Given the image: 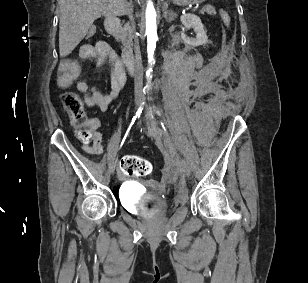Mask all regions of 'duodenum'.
Returning <instances> with one entry per match:
<instances>
[{
    "label": "duodenum",
    "mask_w": 308,
    "mask_h": 283,
    "mask_svg": "<svg viewBox=\"0 0 308 283\" xmlns=\"http://www.w3.org/2000/svg\"><path fill=\"white\" fill-rule=\"evenodd\" d=\"M106 32L116 40L120 39V20L115 16H110L104 23ZM124 65L129 73L134 71V55L132 52L124 51L122 54Z\"/></svg>",
    "instance_id": "obj_1"
}]
</instances>
